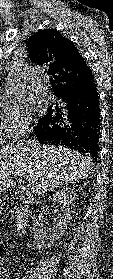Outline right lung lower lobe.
Returning a JSON list of instances; mask_svg holds the SVG:
<instances>
[{
	"instance_id": "98d812e1",
	"label": "right lung lower lobe",
	"mask_w": 113,
	"mask_h": 279,
	"mask_svg": "<svg viewBox=\"0 0 113 279\" xmlns=\"http://www.w3.org/2000/svg\"><path fill=\"white\" fill-rule=\"evenodd\" d=\"M62 111H49L34 128L40 143L61 145L89 154L97 161L100 108L94 76L90 70L78 84L57 95Z\"/></svg>"
}]
</instances>
